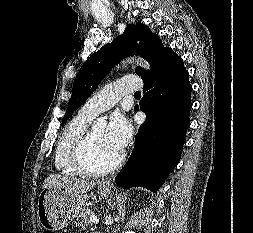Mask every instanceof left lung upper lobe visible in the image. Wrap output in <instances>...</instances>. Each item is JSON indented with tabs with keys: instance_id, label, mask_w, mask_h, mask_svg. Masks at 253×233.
Wrapping results in <instances>:
<instances>
[{
	"instance_id": "5c2ea615",
	"label": "left lung upper lobe",
	"mask_w": 253,
	"mask_h": 233,
	"mask_svg": "<svg viewBox=\"0 0 253 233\" xmlns=\"http://www.w3.org/2000/svg\"><path fill=\"white\" fill-rule=\"evenodd\" d=\"M165 49L160 38L146 25L143 23L129 24L122 35L103 46L84 62L74 80L72 96L62 124L87 100L111 68L122 59L138 54L153 67ZM135 71L139 76L148 72L142 67H137Z\"/></svg>"
}]
</instances>
